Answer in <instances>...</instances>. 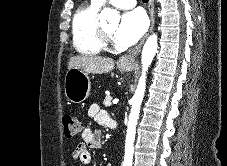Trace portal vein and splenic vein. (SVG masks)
I'll return each mask as SVG.
<instances>
[{"mask_svg": "<svg viewBox=\"0 0 227 166\" xmlns=\"http://www.w3.org/2000/svg\"><path fill=\"white\" fill-rule=\"evenodd\" d=\"M117 103H118V100H114V101H113V104H117Z\"/></svg>", "mask_w": 227, "mask_h": 166, "instance_id": "portal-vein-and-splenic-vein-1", "label": "portal vein and splenic vein"}]
</instances>
